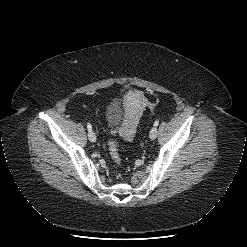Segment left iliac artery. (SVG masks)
<instances>
[{"label":"left iliac artery","instance_id":"obj_1","mask_svg":"<svg viewBox=\"0 0 247 247\" xmlns=\"http://www.w3.org/2000/svg\"><path fill=\"white\" fill-rule=\"evenodd\" d=\"M158 124H159V121L156 120V121L154 122V126H158Z\"/></svg>","mask_w":247,"mask_h":247}]
</instances>
